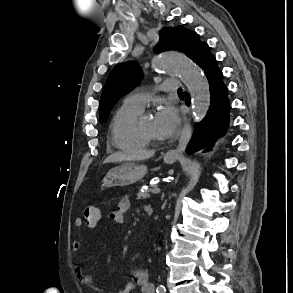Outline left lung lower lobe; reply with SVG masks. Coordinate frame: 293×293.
<instances>
[{"mask_svg": "<svg viewBox=\"0 0 293 293\" xmlns=\"http://www.w3.org/2000/svg\"><path fill=\"white\" fill-rule=\"evenodd\" d=\"M195 62L204 70L208 79L211 105L206 117L195 125L192 140L186 149L189 154L203 148H206L205 152L211 150L215 141L227 130L230 110L227 87L222 81V72L217 68L216 59L209 52V47L206 43L202 46ZM186 101L190 103L188 94H186Z\"/></svg>", "mask_w": 293, "mask_h": 293, "instance_id": "obj_1", "label": "left lung lower lobe"}]
</instances>
